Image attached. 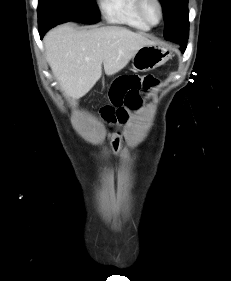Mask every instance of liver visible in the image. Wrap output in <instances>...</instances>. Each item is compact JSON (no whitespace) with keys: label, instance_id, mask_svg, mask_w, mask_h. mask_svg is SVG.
I'll list each match as a JSON object with an SVG mask.
<instances>
[{"label":"liver","instance_id":"obj_1","mask_svg":"<svg viewBox=\"0 0 231 281\" xmlns=\"http://www.w3.org/2000/svg\"><path fill=\"white\" fill-rule=\"evenodd\" d=\"M155 43L118 26L77 30L63 24L45 38L46 59L67 98L86 95L102 75L121 71L143 46Z\"/></svg>","mask_w":231,"mask_h":281}]
</instances>
